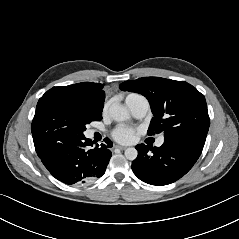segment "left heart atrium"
<instances>
[{
	"label": "left heart atrium",
	"mask_w": 239,
	"mask_h": 239,
	"mask_svg": "<svg viewBox=\"0 0 239 239\" xmlns=\"http://www.w3.org/2000/svg\"><path fill=\"white\" fill-rule=\"evenodd\" d=\"M134 129L125 125L117 126L113 132V138L120 143H129L134 138Z\"/></svg>",
	"instance_id": "obj_1"
}]
</instances>
